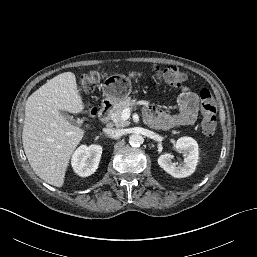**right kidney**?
Segmentation results:
<instances>
[{"label":"right kidney","instance_id":"1","mask_svg":"<svg viewBox=\"0 0 257 257\" xmlns=\"http://www.w3.org/2000/svg\"><path fill=\"white\" fill-rule=\"evenodd\" d=\"M101 154L100 145L80 146L72 156L73 170L81 177L92 175L98 168Z\"/></svg>","mask_w":257,"mask_h":257}]
</instances>
